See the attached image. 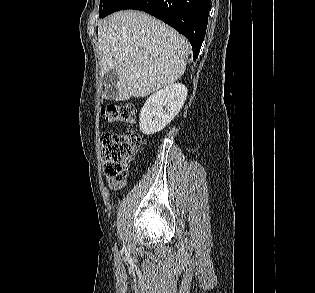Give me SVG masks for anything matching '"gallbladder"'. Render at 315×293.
Instances as JSON below:
<instances>
[{
    "label": "gallbladder",
    "instance_id": "obj_1",
    "mask_svg": "<svg viewBox=\"0 0 315 293\" xmlns=\"http://www.w3.org/2000/svg\"><path fill=\"white\" fill-rule=\"evenodd\" d=\"M118 81L117 71L114 69L109 70L103 77L104 84L108 87L107 99L114 100L117 95L116 83Z\"/></svg>",
    "mask_w": 315,
    "mask_h": 293
}]
</instances>
